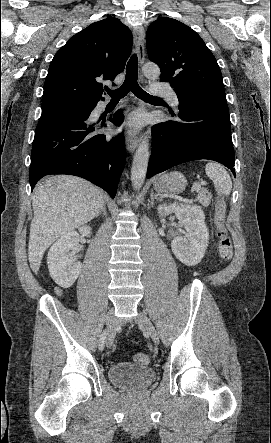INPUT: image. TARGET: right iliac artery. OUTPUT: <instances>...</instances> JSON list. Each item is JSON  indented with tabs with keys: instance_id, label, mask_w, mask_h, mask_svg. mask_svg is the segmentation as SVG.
Returning <instances> with one entry per match:
<instances>
[{
	"instance_id": "82829eb1",
	"label": "right iliac artery",
	"mask_w": 271,
	"mask_h": 443,
	"mask_svg": "<svg viewBox=\"0 0 271 443\" xmlns=\"http://www.w3.org/2000/svg\"><path fill=\"white\" fill-rule=\"evenodd\" d=\"M107 333H108V331L105 330V331L101 334V336H100V339H99V349H100V350H103V349H104L105 339H106V337H107Z\"/></svg>"
}]
</instances>
